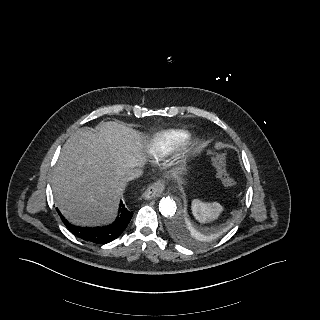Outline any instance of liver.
I'll list each match as a JSON object with an SVG mask.
<instances>
[{"instance_id": "obj_1", "label": "liver", "mask_w": 320, "mask_h": 320, "mask_svg": "<svg viewBox=\"0 0 320 320\" xmlns=\"http://www.w3.org/2000/svg\"><path fill=\"white\" fill-rule=\"evenodd\" d=\"M145 161L143 137L118 122L82 128L64 144L52 176L60 212L78 226H97L115 215L126 173Z\"/></svg>"}]
</instances>
